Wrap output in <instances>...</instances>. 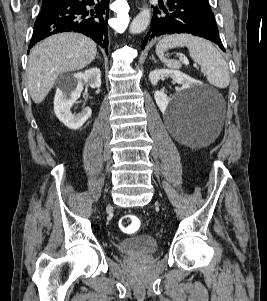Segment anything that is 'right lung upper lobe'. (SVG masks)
<instances>
[{"label": "right lung upper lobe", "mask_w": 267, "mask_h": 301, "mask_svg": "<svg viewBox=\"0 0 267 301\" xmlns=\"http://www.w3.org/2000/svg\"><path fill=\"white\" fill-rule=\"evenodd\" d=\"M57 1L58 0H43V2L45 3L44 5H49V4L55 3Z\"/></svg>", "instance_id": "1"}]
</instances>
